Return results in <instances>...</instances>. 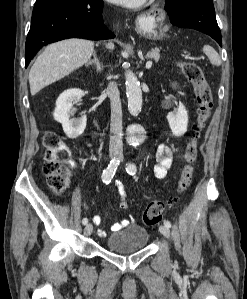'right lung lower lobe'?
I'll return each mask as SVG.
<instances>
[{"label": "right lung lower lobe", "instance_id": "98d812e1", "mask_svg": "<svg viewBox=\"0 0 247 299\" xmlns=\"http://www.w3.org/2000/svg\"><path fill=\"white\" fill-rule=\"evenodd\" d=\"M102 0H68L32 15L25 67L45 45L67 38L103 40L115 35L104 25Z\"/></svg>", "mask_w": 247, "mask_h": 299}]
</instances>
